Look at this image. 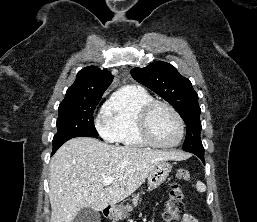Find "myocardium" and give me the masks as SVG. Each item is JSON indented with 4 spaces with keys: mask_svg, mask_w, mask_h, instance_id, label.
I'll return each instance as SVG.
<instances>
[{
    "mask_svg": "<svg viewBox=\"0 0 257 222\" xmlns=\"http://www.w3.org/2000/svg\"><path fill=\"white\" fill-rule=\"evenodd\" d=\"M157 107H165L167 108L176 118L178 126H179V135L175 142L170 144H162L156 141L151 133L150 129V117L153 111ZM138 128L139 133L143 141L151 147L160 148V149H172L179 146L184 138L185 135V123L178 112V110L168 102L159 101V100H152L147 103L140 111L138 117Z\"/></svg>",
    "mask_w": 257,
    "mask_h": 222,
    "instance_id": "1",
    "label": "myocardium"
}]
</instances>
